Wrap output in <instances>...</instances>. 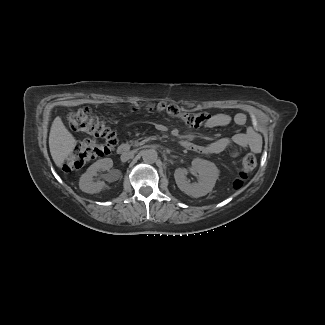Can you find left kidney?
<instances>
[{
	"label": "left kidney",
	"instance_id": "5707ae66",
	"mask_svg": "<svg viewBox=\"0 0 325 325\" xmlns=\"http://www.w3.org/2000/svg\"><path fill=\"white\" fill-rule=\"evenodd\" d=\"M191 168L194 172L198 173V183H189L187 181L188 170L186 168H178L174 173L178 188L194 198L207 195L212 191L219 177L218 168L214 163L200 158L193 159Z\"/></svg>",
	"mask_w": 325,
	"mask_h": 325
}]
</instances>
